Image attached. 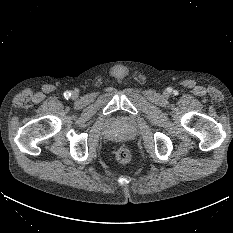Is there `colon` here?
Masks as SVG:
<instances>
[{"label": "colon", "mask_w": 233, "mask_h": 233, "mask_svg": "<svg viewBox=\"0 0 233 233\" xmlns=\"http://www.w3.org/2000/svg\"><path fill=\"white\" fill-rule=\"evenodd\" d=\"M116 159L120 163H128L131 160L130 150L125 146L118 148V150L116 151Z\"/></svg>", "instance_id": "colon-1"}]
</instances>
